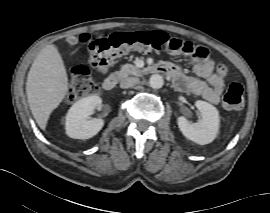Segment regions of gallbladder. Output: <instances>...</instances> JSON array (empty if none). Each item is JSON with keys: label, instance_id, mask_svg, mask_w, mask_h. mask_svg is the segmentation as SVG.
<instances>
[{"label": "gallbladder", "instance_id": "gallbladder-1", "mask_svg": "<svg viewBox=\"0 0 270 213\" xmlns=\"http://www.w3.org/2000/svg\"><path fill=\"white\" fill-rule=\"evenodd\" d=\"M69 44L74 45L76 44V39L74 37L68 39Z\"/></svg>", "mask_w": 270, "mask_h": 213}]
</instances>
